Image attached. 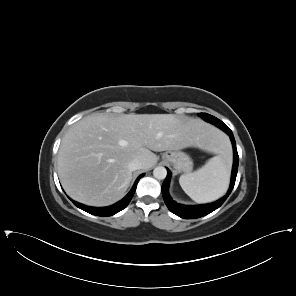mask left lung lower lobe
Here are the masks:
<instances>
[{
  "label": "left lung lower lobe",
  "instance_id": "0a47b994",
  "mask_svg": "<svg viewBox=\"0 0 296 296\" xmlns=\"http://www.w3.org/2000/svg\"><path fill=\"white\" fill-rule=\"evenodd\" d=\"M218 127L221 128L222 130H224L230 136V139H231L232 145H233L234 162H233V168H232L230 188H229L227 194L223 198L219 199L218 201H216L214 203L205 204V205H198V206L181 205V204H178L175 201H173L169 195L168 188H169L171 173L168 170L167 177L162 184L163 198H164L165 204L167 205L168 209L181 218H185V219L199 218V217L205 216V215L213 212L214 210L219 208L224 203V201L227 199V197L229 196V194L231 193V191L234 187L236 176H237V171H238V163H239L236 142H235L232 131L227 126L219 125Z\"/></svg>",
  "mask_w": 296,
  "mask_h": 296
}]
</instances>
